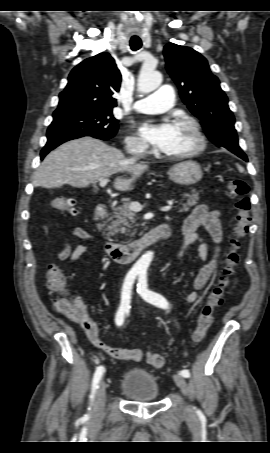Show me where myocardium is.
<instances>
[{
	"mask_svg": "<svg viewBox=\"0 0 270 453\" xmlns=\"http://www.w3.org/2000/svg\"><path fill=\"white\" fill-rule=\"evenodd\" d=\"M177 124L188 126L194 134L196 139V146L188 151L177 153V154H167L162 153V156L170 160H185L198 156L206 148V137L202 131L200 124L193 118L188 116L179 117L176 119Z\"/></svg>",
	"mask_w": 270,
	"mask_h": 453,
	"instance_id": "myocardium-1",
	"label": "myocardium"
}]
</instances>
